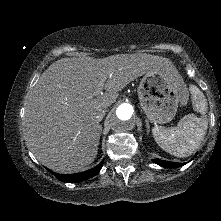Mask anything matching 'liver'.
<instances>
[{
  "mask_svg": "<svg viewBox=\"0 0 221 221\" xmlns=\"http://www.w3.org/2000/svg\"><path fill=\"white\" fill-rule=\"evenodd\" d=\"M175 68L164 57L118 54L62 58L41 75L25 102L23 131L38 161L58 173L83 171L95 160L102 127L96 115L136 78ZM106 93L93 97L101 78Z\"/></svg>",
  "mask_w": 221,
  "mask_h": 221,
  "instance_id": "liver-1",
  "label": "liver"
}]
</instances>
